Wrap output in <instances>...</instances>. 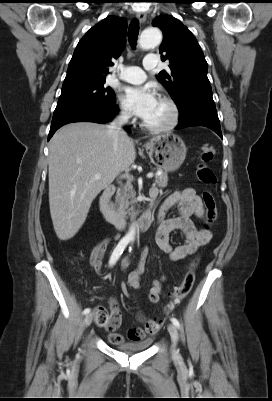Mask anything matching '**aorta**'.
Here are the masks:
<instances>
[{
    "instance_id": "1",
    "label": "aorta",
    "mask_w": 272,
    "mask_h": 401,
    "mask_svg": "<svg viewBox=\"0 0 272 401\" xmlns=\"http://www.w3.org/2000/svg\"><path fill=\"white\" fill-rule=\"evenodd\" d=\"M162 41V33L158 28H147L145 29L140 36L139 44L142 49H151L158 46ZM136 229L134 226H131L128 233L126 234V238L130 241L135 239Z\"/></svg>"
}]
</instances>
